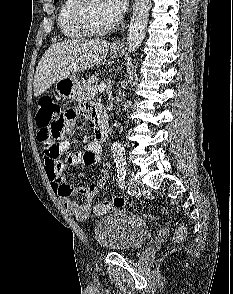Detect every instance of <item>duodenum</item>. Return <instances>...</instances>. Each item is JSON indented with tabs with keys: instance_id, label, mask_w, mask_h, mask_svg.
<instances>
[{
	"instance_id": "410a0bca",
	"label": "duodenum",
	"mask_w": 233,
	"mask_h": 294,
	"mask_svg": "<svg viewBox=\"0 0 233 294\" xmlns=\"http://www.w3.org/2000/svg\"><path fill=\"white\" fill-rule=\"evenodd\" d=\"M95 133L96 138L102 142L108 135V119L106 112L102 106L95 107Z\"/></svg>"
}]
</instances>
